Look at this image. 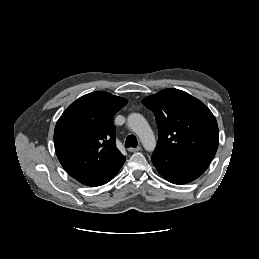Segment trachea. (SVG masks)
<instances>
[{
  "instance_id": "trachea-1",
  "label": "trachea",
  "mask_w": 259,
  "mask_h": 259,
  "mask_svg": "<svg viewBox=\"0 0 259 259\" xmlns=\"http://www.w3.org/2000/svg\"><path fill=\"white\" fill-rule=\"evenodd\" d=\"M137 145H138V141H137V138L134 135L127 136L126 141H125V147L126 148L137 147Z\"/></svg>"
}]
</instances>
